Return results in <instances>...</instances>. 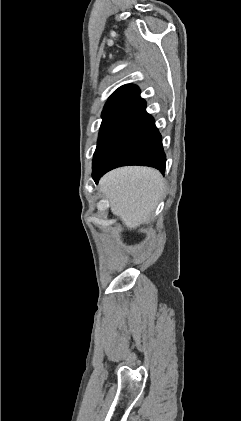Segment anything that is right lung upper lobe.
Masks as SVG:
<instances>
[{
	"instance_id": "1",
	"label": "right lung upper lobe",
	"mask_w": 241,
	"mask_h": 421,
	"mask_svg": "<svg viewBox=\"0 0 241 421\" xmlns=\"http://www.w3.org/2000/svg\"><path fill=\"white\" fill-rule=\"evenodd\" d=\"M140 98V90L136 85H123L108 99L104 109L133 104Z\"/></svg>"
}]
</instances>
